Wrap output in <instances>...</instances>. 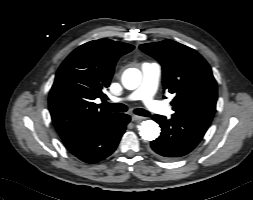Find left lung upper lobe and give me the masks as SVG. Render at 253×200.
<instances>
[{
  "mask_svg": "<svg viewBox=\"0 0 253 200\" xmlns=\"http://www.w3.org/2000/svg\"><path fill=\"white\" fill-rule=\"evenodd\" d=\"M140 49L162 65L163 87L175 95L174 114L210 125L216 109L217 85L205 59L172 40L147 43Z\"/></svg>",
  "mask_w": 253,
  "mask_h": 200,
  "instance_id": "1",
  "label": "left lung upper lobe"
}]
</instances>
